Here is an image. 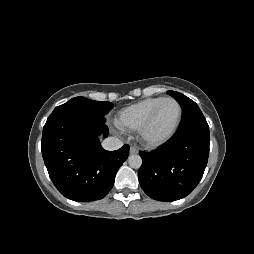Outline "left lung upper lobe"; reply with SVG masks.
<instances>
[{
	"instance_id": "5c2ea615",
	"label": "left lung upper lobe",
	"mask_w": 254,
	"mask_h": 254,
	"mask_svg": "<svg viewBox=\"0 0 254 254\" xmlns=\"http://www.w3.org/2000/svg\"><path fill=\"white\" fill-rule=\"evenodd\" d=\"M168 94L174 97L183 109V117L179 129L191 125H208L201 110L193 100L175 91H168Z\"/></svg>"
}]
</instances>
